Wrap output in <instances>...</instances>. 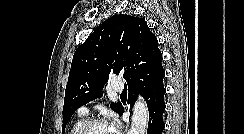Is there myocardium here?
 <instances>
[{"label": "myocardium", "mask_w": 244, "mask_h": 134, "mask_svg": "<svg viewBox=\"0 0 244 134\" xmlns=\"http://www.w3.org/2000/svg\"><path fill=\"white\" fill-rule=\"evenodd\" d=\"M96 125H108L107 122L100 118H92L89 120H86L82 123V125L78 128L76 131V134H86L89 129Z\"/></svg>", "instance_id": "f54148a6"}]
</instances>
